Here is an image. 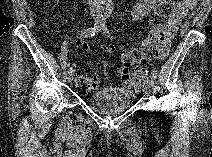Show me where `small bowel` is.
Instances as JSON below:
<instances>
[{"label": "small bowel", "mask_w": 212, "mask_h": 157, "mask_svg": "<svg viewBox=\"0 0 212 157\" xmlns=\"http://www.w3.org/2000/svg\"><path fill=\"white\" fill-rule=\"evenodd\" d=\"M154 1L152 0H140L135 3L132 9V15L135 19H140L145 16L153 7ZM196 5L195 0H181L178 2L176 9L172 16L169 18L164 31L166 32L167 36H164L161 43H160V54L158 56L159 59H165L169 52V45L170 40L175 35L182 19L188 13L189 10L193 9ZM76 46L81 51H88L89 46L87 43L82 41H77ZM145 69V68H144ZM146 73V69H145ZM145 73L140 75L136 79H131L127 82H123V87L125 89H134L137 90L140 87L142 80L145 77Z\"/></svg>", "instance_id": "small-bowel-1"}]
</instances>
